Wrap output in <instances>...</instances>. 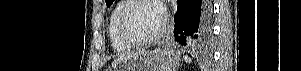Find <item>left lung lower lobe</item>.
<instances>
[{
  "mask_svg": "<svg viewBox=\"0 0 301 71\" xmlns=\"http://www.w3.org/2000/svg\"><path fill=\"white\" fill-rule=\"evenodd\" d=\"M175 40L183 46L207 45L212 34L210 0H177Z\"/></svg>",
  "mask_w": 301,
  "mask_h": 71,
  "instance_id": "0a47b994",
  "label": "left lung lower lobe"
}]
</instances>
